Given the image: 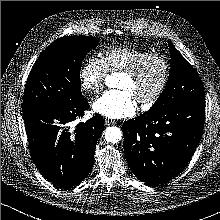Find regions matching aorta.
I'll list each match as a JSON object with an SVG mask.
<instances>
[{
	"label": "aorta",
	"mask_w": 220,
	"mask_h": 220,
	"mask_svg": "<svg viewBox=\"0 0 220 220\" xmlns=\"http://www.w3.org/2000/svg\"><path fill=\"white\" fill-rule=\"evenodd\" d=\"M106 85L109 88H113L116 86L115 78L113 76H107ZM122 139V132L118 127H107L105 130V140L107 142H111L113 144L118 143Z\"/></svg>",
	"instance_id": "obj_1"
}]
</instances>
